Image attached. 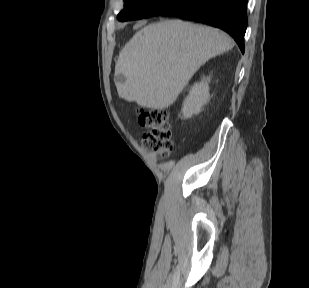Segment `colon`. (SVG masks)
Wrapping results in <instances>:
<instances>
[{"instance_id": "obj_1", "label": "colon", "mask_w": 309, "mask_h": 288, "mask_svg": "<svg viewBox=\"0 0 309 288\" xmlns=\"http://www.w3.org/2000/svg\"><path fill=\"white\" fill-rule=\"evenodd\" d=\"M138 121L148 129L142 138L143 147L162 156L168 155L173 147V130L168 111L163 108H141Z\"/></svg>"}]
</instances>
